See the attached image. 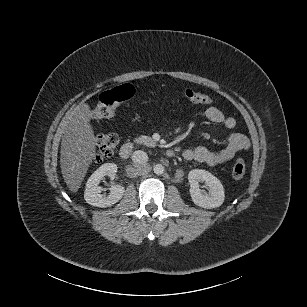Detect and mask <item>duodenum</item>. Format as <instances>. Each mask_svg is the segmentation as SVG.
<instances>
[{
	"instance_id": "410a0bca",
	"label": "duodenum",
	"mask_w": 307,
	"mask_h": 307,
	"mask_svg": "<svg viewBox=\"0 0 307 307\" xmlns=\"http://www.w3.org/2000/svg\"><path fill=\"white\" fill-rule=\"evenodd\" d=\"M134 149V144L132 142H126L124 143L120 148V157L122 159H127L132 154ZM166 155L170 158H173L176 156V151L174 149H168L166 151Z\"/></svg>"
}]
</instances>
